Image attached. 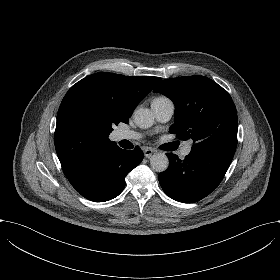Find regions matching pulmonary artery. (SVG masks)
Wrapping results in <instances>:
<instances>
[{"label": "pulmonary artery", "instance_id": "e3ab8cb5", "mask_svg": "<svg viewBox=\"0 0 280 280\" xmlns=\"http://www.w3.org/2000/svg\"><path fill=\"white\" fill-rule=\"evenodd\" d=\"M151 109L155 118L162 123L168 122L175 111L174 103L166 97H157L151 103ZM141 135L135 131H120V140H136Z\"/></svg>", "mask_w": 280, "mask_h": 280}]
</instances>
